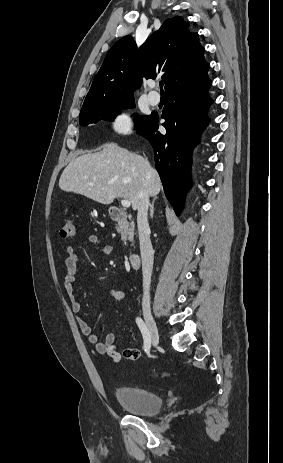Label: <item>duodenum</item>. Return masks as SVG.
I'll return each mask as SVG.
<instances>
[{
	"instance_id": "duodenum-1",
	"label": "duodenum",
	"mask_w": 283,
	"mask_h": 463,
	"mask_svg": "<svg viewBox=\"0 0 283 463\" xmlns=\"http://www.w3.org/2000/svg\"><path fill=\"white\" fill-rule=\"evenodd\" d=\"M111 218L117 223H125L127 221L126 213L117 207L111 209ZM129 262L132 268H138L140 265V256L137 253L130 254Z\"/></svg>"
}]
</instances>
